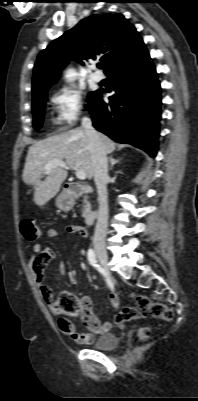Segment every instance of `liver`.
Masks as SVG:
<instances>
[{
	"label": "liver",
	"mask_w": 198,
	"mask_h": 401,
	"mask_svg": "<svg viewBox=\"0 0 198 401\" xmlns=\"http://www.w3.org/2000/svg\"><path fill=\"white\" fill-rule=\"evenodd\" d=\"M98 133V132H97ZM106 153H112L116 144L106 135L98 133ZM53 160L64 161L74 171H84L86 177L94 176L89 137L81 127L60 135L37 141L28 150L23 170V180L34 186V202L45 206L60 190L67 177L64 168L54 166L45 173V166ZM43 175L46 178L41 181Z\"/></svg>",
	"instance_id": "obj_1"
}]
</instances>
